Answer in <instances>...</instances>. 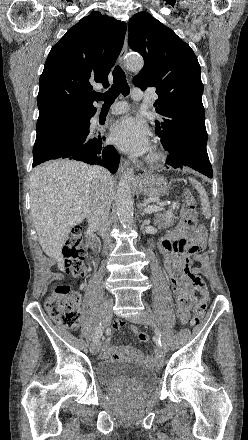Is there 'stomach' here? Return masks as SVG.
<instances>
[{
	"label": "stomach",
	"instance_id": "obj_1",
	"mask_svg": "<svg viewBox=\"0 0 248 440\" xmlns=\"http://www.w3.org/2000/svg\"><path fill=\"white\" fill-rule=\"evenodd\" d=\"M138 193L152 198H159L169 191L167 180L159 175H143L136 181Z\"/></svg>",
	"mask_w": 248,
	"mask_h": 440
}]
</instances>
